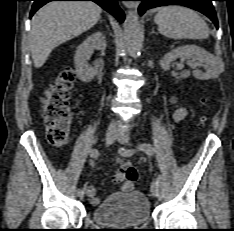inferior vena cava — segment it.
<instances>
[{
  "label": "inferior vena cava",
  "mask_w": 234,
  "mask_h": 231,
  "mask_svg": "<svg viewBox=\"0 0 234 231\" xmlns=\"http://www.w3.org/2000/svg\"><path fill=\"white\" fill-rule=\"evenodd\" d=\"M120 122L119 121H116V122H113L112 125H118Z\"/></svg>",
  "instance_id": "602c4592"
}]
</instances>
